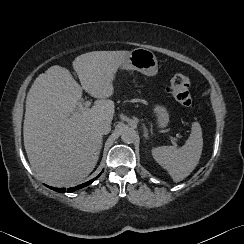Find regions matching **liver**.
<instances>
[{"label": "liver", "instance_id": "liver-1", "mask_svg": "<svg viewBox=\"0 0 244 244\" xmlns=\"http://www.w3.org/2000/svg\"><path fill=\"white\" fill-rule=\"evenodd\" d=\"M130 51H93L73 61L81 86L70 71L54 65L40 74L26 99L24 146L32 168L45 182L71 186L95 168L102 146L97 124L112 121L113 80ZM82 89L97 101L81 106Z\"/></svg>", "mask_w": 244, "mask_h": 244}]
</instances>
